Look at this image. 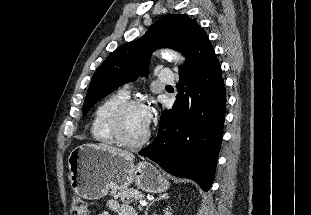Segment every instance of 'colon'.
I'll return each instance as SVG.
<instances>
[{"mask_svg":"<svg viewBox=\"0 0 311 215\" xmlns=\"http://www.w3.org/2000/svg\"><path fill=\"white\" fill-rule=\"evenodd\" d=\"M88 205L87 203L79 198L74 197L71 203V214L72 215H88Z\"/></svg>","mask_w":311,"mask_h":215,"instance_id":"obj_1","label":"colon"}]
</instances>
